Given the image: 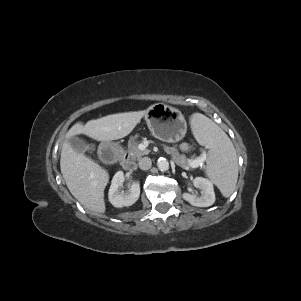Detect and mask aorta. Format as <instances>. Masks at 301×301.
Here are the masks:
<instances>
[{"label":"aorta","instance_id":"762f6f07","mask_svg":"<svg viewBox=\"0 0 301 301\" xmlns=\"http://www.w3.org/2000/svg\"><path fill=\"white\" fill-rule=\"evenodd\" d=\"M158 169L161 171H167L169 169V162L166 158L160 157L157 161Z\"/></svg>","mask_w":301,"mask_h":301}]
</instances>
